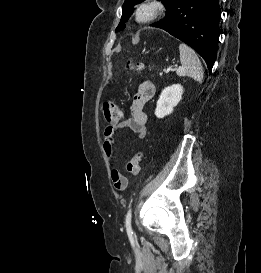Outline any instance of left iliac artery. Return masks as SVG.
Here are the masks:
<instances>
[{"mask_svg":"<svg viewBox=\"0 0 261 273\" xmlns=\"http://www.w3.org/2000/svg\"><path fill=\"white\" fill-rule=\"evenodd\" d=\"M131 218H132V212H131V209H129L127 212L126 221H125L126 230L129 234H133L132 227H131Z\"/></svg>","mask_w":261,"mask_h":273,"instance_id":"1","label":"left iliac artery"}]
</instances>
